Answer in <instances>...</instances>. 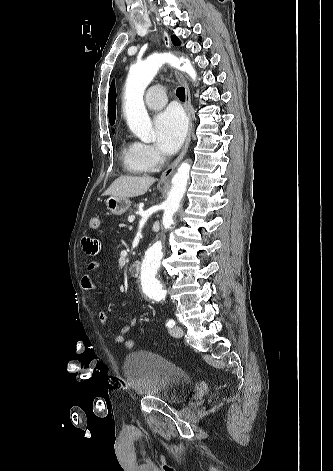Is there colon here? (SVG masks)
<instances>
[{
  "instance_id": "1",
  "label": "colon",
  "mask_w": 333,
  "mask_h": 471,
  "mask_svg": "<svg viewBox=\"0 0 333 471\" xmlns=\"http://www.w3.org/2000/svg\"><path fill=\"white\" fill-rule=\"evenodd\" d=\"M100 226V217L95 215V216H92L89 220V227L93 230L95 229H98ZM124 346L127 348V349H132L135 347V341L132 340V339H127L125 340L124 342Z\"/></svg>"
}]
</instances>
